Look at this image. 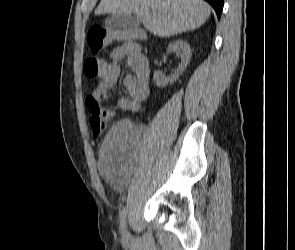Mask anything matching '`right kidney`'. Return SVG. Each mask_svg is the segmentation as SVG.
Segmentation results:
<instances>
[{
    "mask_svg": "<svg viewBox=\"0 0 295 250\" xmlns=\"http://www.w3.org/2000/svg\"><path fill=\"white\" fill-rule=\"evenodd\" d=\"M168 53H176L181 57V63L171 77H166L162 72L155 71L153 75V80L157 87L163 88L168 85V83H173L182 74L187 65L189 64L192 56V51L189 44L184 40H177L169 44L167 48Z\"/></svg>",
    "mask_w": 295,
    "mask_h": 250,
    "instance_id": "obj_1",
    "label": "right kidney"
}]
</instances>
